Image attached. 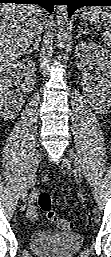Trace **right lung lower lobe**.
<instances>
[{
	"instance_id": "right-lung-lower-lobe-1",
	"label": "right lung lower lobe",
	"mask_w": 111,
	"mask_h": 257,
	"mask_svg": "<svg viewBox=\"0 0 111 257\" xmlns=\"http://www.w3.org/2000/svg\"><path fill=\"white\" fill-rule=\"evenodd\" d=\"M0 3L38 4L49 12H52L54 7V0H0Z\"/></svg>"
}]
</instances>
